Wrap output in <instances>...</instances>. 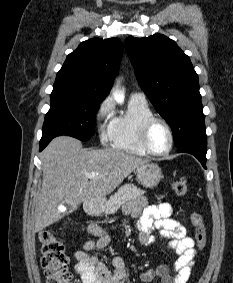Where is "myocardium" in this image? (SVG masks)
I'll use <instances>...</instances> for the list:
<instances>
[{
	"label": "myocardium",
	"mask_w": 233,
	"mask_h": 283,
	"mask_svg": "<svg viewBox=\"0 0 233 283\" xmlns=\"http://www.w3.org/2000/svg\"><path fill=\"white\" fill-rule=\"evenodd\" d=\"M156 122H159L162 125H164V127L168 131L169 138H170L169 146L163 152H156V151L152 150L151 147L149 146V143H148L149 130H150L151 126ZM137 138H138V142H139V145L141 146V148L147 154L152 155V156H164L172 150L173 145H174V133H173V130H172L170 124L164 118L156 116V115L148 116L140 123V125L138 127Z\"/></svg>",
	"instance_id": "1"
}]
</instances>
